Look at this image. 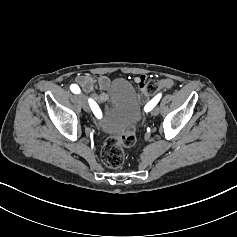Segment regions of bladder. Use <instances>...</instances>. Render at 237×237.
I'll return each mask as SVG.
<instances>
[{
  "label": "bladder",
  "mask_w": 237,
  "mask_h": 237,
  "mask_svg": "<svg viewBox=\"0 0 237 237\" xmlns=\"http://www.w3.org/2000/svg\"><path fill=\"white\" fill-rule=\"evenodd\" d=\"M119 107L97 120L99 129L110 137H120L140 119L141 106L132 85L121 81L116 85Z\"/></svg>",
  "instance_id": "1"
}]
</instances>
